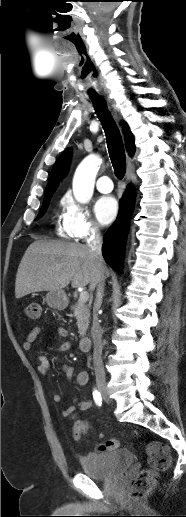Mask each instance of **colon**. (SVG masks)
Returning <instances> with one entry per match:
<instances>
[{"mask_svg":"<svg viewBox=\"0 0 186 517\" xmlns=\"http://www.w3.org/2000/svg\"><path fill=\"white\" fill-rule=\"evenodd\" d=\"M26 316L32 320H38L41 317L42 309L39 303L32 302L26 306ZM80 426L74 428V436L80 438ZM119 446L116 438H110L101 443V450H112ZM146 452L149 458V469L140 471L132 480L128 490V496L131 499L144 498L155 486L157 475L159 472L168 469L171 463V456L168 447L159 441H150L146 445Z\"/></svg>","mask_w":186,"mask_h":517,"instance_id":"1","label":"colon"}]
</instances>
